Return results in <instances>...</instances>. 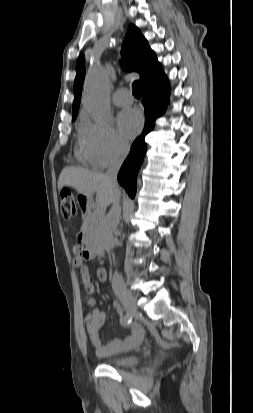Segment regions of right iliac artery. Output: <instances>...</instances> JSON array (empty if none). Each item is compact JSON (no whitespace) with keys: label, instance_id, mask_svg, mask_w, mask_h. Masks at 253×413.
<instances>
[{"label":"right iliac artery","instance_id":"82829eb1","mask_svg":"<svg viewBox=\"0 0 253 413\" xmlns=\"http://www.w3.org/2000/svg\"><path fill=\"white\" fill-rule=\"evenodd\" d=\"M123 321H124L126 324H129V323L131 322V317H130L129 315H126V316H124Z\"/></svg>","mask_w":253,"mask_h":413}]
</instances>
